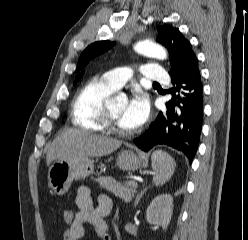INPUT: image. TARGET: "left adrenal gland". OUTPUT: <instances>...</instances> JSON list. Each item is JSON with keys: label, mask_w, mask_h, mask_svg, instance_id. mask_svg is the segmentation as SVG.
<instances>
[{"label": "left adrenal gland", "mask_w": 248, "mask_h": 240, "mask_svg": "<svg viewBox=\"0 0 248 240\" xmlns=\"http://www.w3.org/2000/svg\"><path fill=\"white\" fill-rule=\"evenodd\" d=\"M147 187H145L143 190L140 191V193L137 194L136 200L134 202V207H136L140 201V199L142 198V196L146 193L147 191Z\"/></svg>", "instance_id": "1"}]
</instances>
